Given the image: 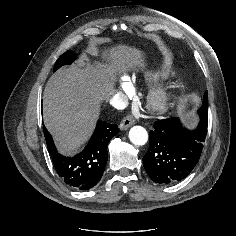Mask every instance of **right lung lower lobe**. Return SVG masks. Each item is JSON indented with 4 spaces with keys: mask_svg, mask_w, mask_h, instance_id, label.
Listing matches in <instances>:
<instances>
[{
    "mask_svg": "<svg viewBox=\"0 0 236 236\" xmlns=\"http://www.w3.org/2000/svg\"><path fill=\"white\" fill-rule=\"evenodd\" d=\"M45 140L58 175L65 183L78 190L94 187L101 179L107 160V145L118 134V126L98 121L96 129L85 149L74 157L58 153L52 136L43 127Z\"/></svg>",
    "mask_w": 236,
    "mask_h": 236,
    "instance_id": "right-lung-lower-lobe-1",
    "label": "right lung lower lobe"
}]
</instances>
